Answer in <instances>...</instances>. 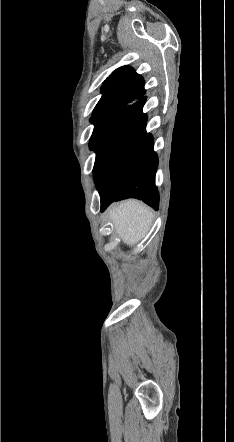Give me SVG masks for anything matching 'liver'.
I'll list each match as a JSON object with an SVG mask.
<instances>
[{"label": "liver", "instance_id": "6515ba94", "mask_svg": "<svg viewBox=\"0 0 234 442\" xmlns=\"http://www.w3.org/2000/svg\"><path fill=\"white\" fill-rule=\"evenodd\" d=\"M108 214L122 242L130 246L145 236L153 218L151 209L135 199L112 205Z\"/></svg>", "mask_w": 234, "mask_h": 442}]
</instances>
